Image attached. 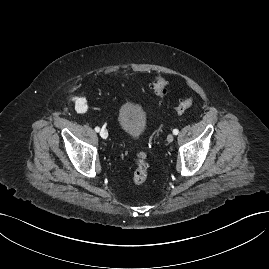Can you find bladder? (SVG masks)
<instances>
[{"instance_id":"obj_1","label":"bladder","mask_w":269,"mask_h":269,"mask_svg":"<svg viewBox=\"0 0 269 269\" xmlns=\"http://www.w3.org/2000/svg\"><path fill=\"white\" fill-rule=\"evenodd\" d=\"M118 125L125 136L139 138L146 130V115L140 106L124 101L118 110Z\"/></svg>"}]
</instances>
